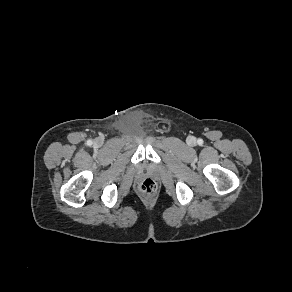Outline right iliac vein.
<instances>
[{"instance_id": "obj_1", "label": "right iliac vein", "mask_w": 292, "mask_h": 292, "mask_svg": "<svg viewBox=\"0 0 292 292\" xmlns=\"http://www.w3.org/2000/svg\"><path fill=\"white\" fill-rule=\"evenodd\" d=\"M101 143H102L101 140H97V141H96V144H97V145H101Z\"/></svg>"}]
</instances>
